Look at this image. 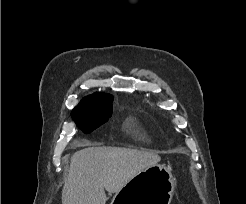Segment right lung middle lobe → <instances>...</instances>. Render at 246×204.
Returning <instances> with one entry per match:
<instances>
[{"instance_id": "1", "label": "right lung middle lobe", "mask_w": 246, "mask_h": 204, "mask_svg": "<svg viewBox=\"0 0 246 204\" xmlns=\"http://www.w3.org/2000/svg\"><path fill=\"white\" fill-rule=\"evenodd\" d=\"M112 100L113 97L91 101L84 107L76 108L72 112V118L88 134L108 121L112 112Z\"/></svg>"}]
</instances>
